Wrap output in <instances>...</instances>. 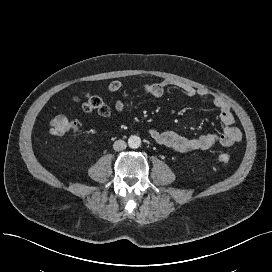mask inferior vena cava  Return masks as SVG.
I'll return each instance as SVG.
<instances>
[{
    "label": "inferior vena cava",
    "instance_id": "1",
    "mask_svg": "<svg viewBox=\"0 0 272 272\" xmlns=\"http://www.w3.org/2000/svg\"><path fill=\"white\" fill-rule=\"evenodd\" d=\"M127 145L126 142L123 140H116L113 144V148L115 151H121L126 149Z\"/></svg>",
    "mask_w": 272,
    "mask_h": 272
}]
</instances>
